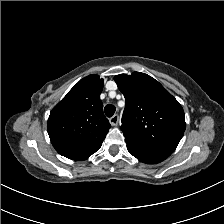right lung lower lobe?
<instances>
[{
    "instance_id": "98d812e1",
    "label": "right lung lower lobe",
    "mask_w": 224,
    "mask_h": 224,
    "mask_svg": "<svg viewBox=\"0 0 224 224\" xmlns=\"http://www.w3.org/2000/svg\"><path fill=\"white\" fill-rule=\"evenodd\" d=\"M54 148L59 154L73 160H83L95 152H85L80 145L66 138L51 139Z\"/></svg>"
}]
</instances>
